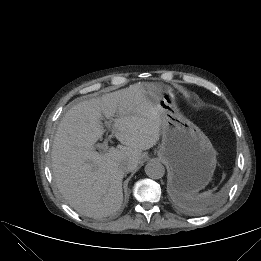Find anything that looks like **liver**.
<instances>
[{
	"mask_svg": "<svg viewBox=\"0 0 261 261\" xmlns=\"http://www.w3.org/2000/svg\"><path fill=\"white\" fill-rule=\"evenodd\" d=\"M144 88L145 83H137L82 101L62 118L52 146V170L60 193L77 212L89 217L116 212L123 201V165L134 170L142 150L158 142L162 110ZM103 117L113 122L122 145L99 154L94 144L105 131Z\"/></svg>",
	"mask_w": 261,
	"mask_h": 261,
	"instance_id": "6515ba94",
	"label": "liver"
}]
</instances>
